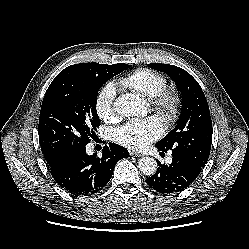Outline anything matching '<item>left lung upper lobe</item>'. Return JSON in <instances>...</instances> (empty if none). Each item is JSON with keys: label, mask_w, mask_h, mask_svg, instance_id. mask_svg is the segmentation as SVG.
Listing matches in <instances>:
<instances>
[{"label": "left lung upper lobe", "mask_w": 249, "mask_h": 249, "mask_svg": "<svg viewBox=\"0 0 249 249\" xmlns=\"http://www.w3.org/2000/svg\"><path fill=\"white\" fill-rule=\"evenodd\" d=\"M150 67L166 73L177 85L182 97V110L175 128L155 146L181 154L204 167L212 143V121L205 95L198 82L184 69L160 63Z\"/></svg>", "instance_id": "left-lung-upper-lobe-1"}]
</instances>
